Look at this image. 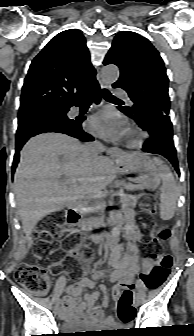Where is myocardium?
<instances>
[{"instance_id":"obj_1","label":"myocardium","mask_w":194,"mask_h":336,"mask_svg":"<svg viewBox=\"0 0 194 336\" xmlns=\"http://www.w3.org/2000/svg\"><path fill=\"white\" fill-rule=\"evenodd\" d=\"M148 138V134L134 124L127 127L125 134V144L130 149L141 148Z\"/></svg>"}]
</instances>
